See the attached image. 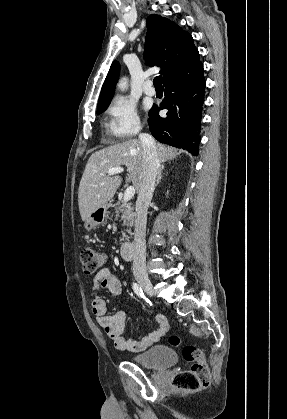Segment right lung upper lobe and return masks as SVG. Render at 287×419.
<instances>
[{
  "label": "right lung upper lobe",
  "mask_w": 287,
  "mask_h": 419,
  "mask_svg": "<svg viewBox=\"0 0 287 419\" xmlns=\"http://www.w3.org/2000/svg\"><path fill=\"white\" fill-rule=\"evenodd\" d=\"M145 59L148 65L160 66L163 83L202 66L193 38L167 18L151 15L147 20ZM120 65L114 61L101 89L98 107L109 105L119 77Z\"/></svg>",
  "instance_id": "obj_1"
}]
</instances>
